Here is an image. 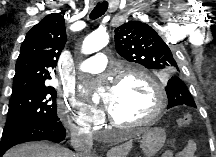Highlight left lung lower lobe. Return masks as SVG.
<instances>
[{
  "mask_svg": "<svg viewBox=\"0 0 216 157\" xmlns=\"http://www.w3.org/2000/svg\"><path fill=\"white\" fill-rule=\"evenodd\" d=\"M178 105H180L178 102H172V103L168 104V108L178 106Z\"/></svg>",
  "mask_w": 216,
  "mask_h": 157,
  "instance_id": "0a47b994",
  "label": "left lung lower lobe"
}]
</instances>
